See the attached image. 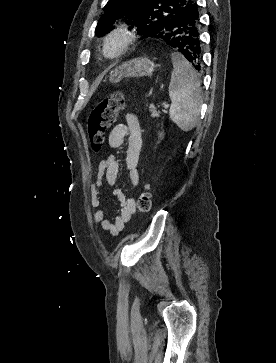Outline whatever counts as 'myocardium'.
<instances>
[{
    "label": "myocardium",
    "instance_id": "obj_1",
    "mask_svg": "<svg viewBox=\"0 0 276 363\" xmlns=\"http://www.w3.org/2000/svg\"><path fill=\"white\" fill-rule=\"evenodd\" d=\"M137 38H138V33L135 27L125 22L117 24L111 30H109L103 37V42H102L103 55L108 59H117L129 50V48L136 42ZM112 39H119L120 45L115 52L110 53L107 47L108 43Z\"/></svg>",
    "mask_w": 276,
    "mask_h": 363
}]
</instances>
